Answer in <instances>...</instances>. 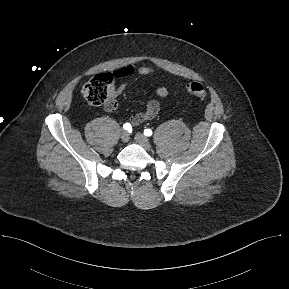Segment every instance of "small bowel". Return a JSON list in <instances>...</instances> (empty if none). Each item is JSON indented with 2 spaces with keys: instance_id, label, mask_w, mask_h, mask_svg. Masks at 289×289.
Instances as JSON below:
<instances>
[{
  "instance_id": "1",
  "label": "small bowel",
  "mask_w": 289,
  "mask_h": 289,
  "mask_svg": "<svg viewBox=\"0 0 289 289\" xmlns=\"http://www.w3.org/2000/svg\"><path fill=\"white\" fill-rule=\"evenodd\" d=\"M153 73V68L149 66L135 67L133 65H128L117 69L113 76L117 79H127L138 76H146ZM126 87V82L123 81L117 86H113L111 89L112 97H117ZM156 95L159 98L165 99L169 96V91L165 87H160L156 90ZM160 109L159 102L156 100H151L147 103L144 111L136 113L131 116L130 122L132 125L137 126L141 123L151 120L158 114Z\"/></svg>"
}]
</instances>
